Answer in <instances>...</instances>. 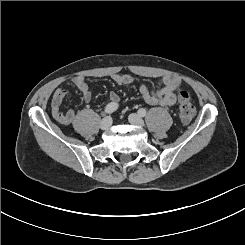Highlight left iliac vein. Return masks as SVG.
<instances>
[{"instance_id": "left-iliac-vein-1", "label": "left iliac vein", "mask_w": 245, "mask_h": 245, "mask_svg": "<svg viewBox=\"0 0 245 245\" xmlns=\"http://www.w3.org/2000/svg\"><path fill=\"white\" fill-rule=\"evenodd\" d=\"M129 122L135 126H143L144 120L136 113L129 115Z\"/></svg>"}]
</instances>
